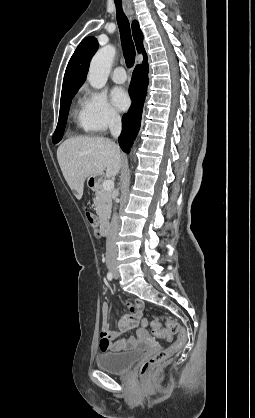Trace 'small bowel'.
Here are the masks:
<instances>
[{
  "mask_svg": "<svg viewBox=\"0 0 255 418\" xmlns=\"http://www.w3.org/2000/svg\"><path fill=\"white\" fill-rule=\"evenodd\" d=\"M129 313L118 323V330L110 329L109 323L106 321V315L108 313L109 307L107 304L102 306L103 322L101 327V336L99 348L102 352L109 351H123L128 348L133 347L137 339L132 336L127 339L115 340L121 333L136 327L140 326L137 333L141 337L147 336L145 327L147 325V319L142 314V305L140 303H127Z\"/></svg>",
  "mask_w": 255,
  "mask_h": 418,
  "instance_id": "small-bowel-1",
  "label": "small bowel"
}]
</instances>
